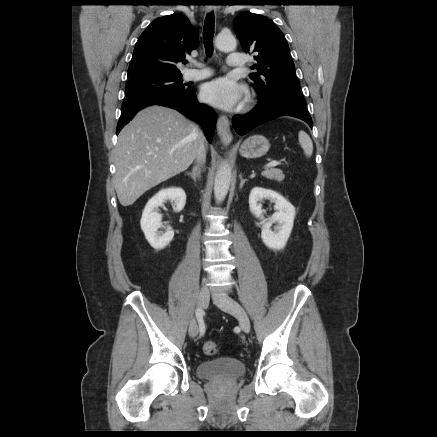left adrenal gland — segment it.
Wrapping results in <instances>:
<instances>
[{
	"mask_svg": "<svg viewBox=\"0 0 437 437\" xmlns=\"http://www.w3.org/2000/svg\"><path fill=\"white\" fill-rule=\"evenodd\" d=\"M239 177H240V181H241V182H240V186H239V188L242 189L244 183H245L247 180H246V179H243V178H242V175H240Z\"/></svg>",
	"mask_w": 437,
	"mask_h": 437,
	"instance_id": "a2214340",
	"label": "left adrenal gland"
}]
</instances>
